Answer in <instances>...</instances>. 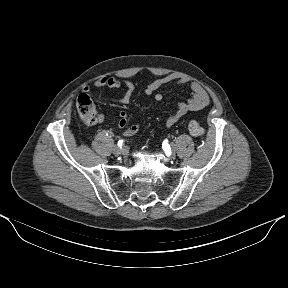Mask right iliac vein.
Returning a JSON list of instances; mask_svg holds the SVG:
<instances>
[{
  "instance_id": "obj_1",
  "label": "right iliac vein",
  "mask_w": 288,
  "mask_h": 288,
  "mask_svg": "<svg viewBox=\"0 0 288 288\" xmlns=\"http://www.w3.org/2000/svg\"><path fill=\"white\" fill-rule=\"evenodd\" d=\"M112 152L114 155L118 156L123 153V149L119 148L118 146H113Z\"/></svg>"
}]
</instances>
